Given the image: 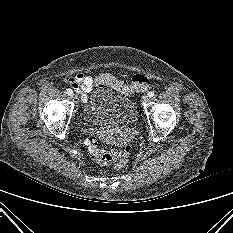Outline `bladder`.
Returning a JSON list of instances; mask_svg holds the SVG:
<instances>
[{"label":"bladder","mask_w":233,"mask_h":233,"mask_svg":"<svg viewBox=\"0 0 233 233\" xmlns=\"http://www.w3.org/2000/svg\"><path fill=\"white\" fill-rule=\"evenodd\" d=\"M83 117L95 126L130 124L136 118L132 100L108 88L95 90L85 103Z\"/></svg>","instance_id":"bladder-1"}]
</instances>
